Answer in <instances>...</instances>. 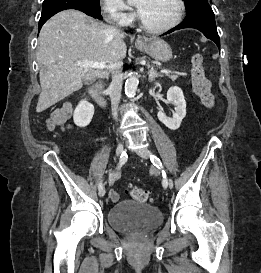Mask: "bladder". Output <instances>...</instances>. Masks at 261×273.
<instances>
[{
	"label": "bladder",
	"instance_id": "1",
	"mask_svg": "<svg viewBox=\"0 0 261 273\" xmlns=\"http://www.w3.org/2000/svg\"><path fill=\"white\" fill-rule=\"evenodd\" d=\"M107 220L113 228L120 231H129L132 228L149 231L162 223L163 216L154 206L122 201L109 209Z\"/></svg>",
	"mask_w": 261,
	"mask_h": 273
}]
</instances>
